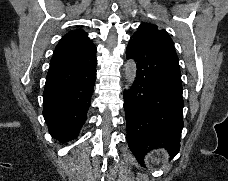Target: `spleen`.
<instances>
[{"label":"spleen","instance_id":"3e777b00","mask_svg":"<svg viewBox=\"0 0 228 181\" xmlns=\"http://www.w3.org/2000/svg\"><path fill=\"white\" fill-rule=\"evenodd\" d=\"M153 163H159L158 157H155V159H153Z\"/></svg>","mask_w":228,"mask_h":181}]
</instances>
